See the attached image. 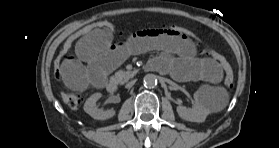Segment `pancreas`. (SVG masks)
Listing matches in <instances>:
<instances>
[{"mask_svg": "<svg viewBox=\"0 0 279 148\" xmlns=\"http://www.w3.org/2000/svg\"><path fill=\"white\" fill-rule=\"evenodd\" d=\"M135 74V71L119 70L115 73V78L122 84L132 78Z\"/></svg>", "mask_w": 279, "mask_h": 148, "instance_id": "1", "label": "pancreas"}]
</instances>
